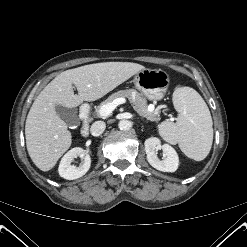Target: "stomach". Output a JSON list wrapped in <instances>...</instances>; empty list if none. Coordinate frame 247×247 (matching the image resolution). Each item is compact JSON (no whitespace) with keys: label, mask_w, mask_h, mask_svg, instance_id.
<instances>
[{"label":"stomach","mask_w":247,"mask_h":247,"mask_svg":"<svg viewBox=\"0 0 247 247\" xmlns=\"http://www.w3.org/2000/svg\"><path fill=\"white\" fill-rule=\"evenodd\" d=\"M134 85L149 100H161L170 84L169 75L161 69H143L136 73Z\"/></svg>","instance_id":"0dacf381"}]
</instances>
